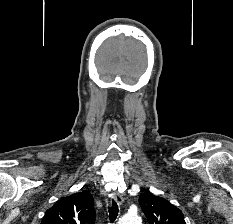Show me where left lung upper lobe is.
<instances>
[{"instance_id": "1", "label": "left lung upper lobe", "mask_w": 233, "mask_h": 224, "mask_svg": "<svg viewBox=\"0 0 233 224\" xmlns=\"http://www.w3.org/2000/svg\"><path fill=\"white\" fill-rule=\"evenodd\" d=\"M139 203L149 224H186L181 210L159 196L145 192Z\"/></svg>"}]
</instances>
